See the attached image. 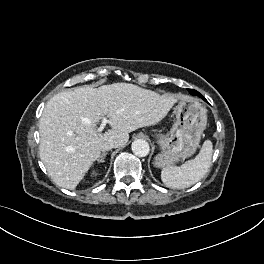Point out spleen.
<instances>
[{
    "label": "spleen",
    "mask_w": 264,
    "mask_h": 264,
    "mask_svg": "<svg viewBox=\"0 0 264 264\" xmlns=\"http://www.w3.org/2000/svg\"><path fill=\"white\" fill-rule=\"evenodd\" d=\"M213 146L206 140L199 154L179 167L167 166L161 172L162 182L171 188L183 189L200 181L211 165Z\"/></svg>",
    "instance_id": "obj_1"
}]
</instances>
